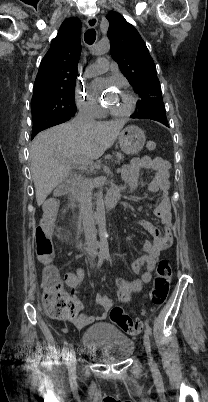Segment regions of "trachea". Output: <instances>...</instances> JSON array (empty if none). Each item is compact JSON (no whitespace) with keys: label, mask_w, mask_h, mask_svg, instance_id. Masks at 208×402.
Wrapping results in <instances>:
<instances>
[{"label":"trachea","mask_w":208,"mask_h":402,"mask_svg":"<svg viewBox=\"0 0 208 402\" xmlns=\"http://www.w3.org/2000/svg\"><path fill=\"white\" fill-rule=\"evenodd\" d=\"M84 40L88 45H92L96 40V32L94 28H89L84 34Z\"/></svg>","instance_id":"1"}]
</instances>
